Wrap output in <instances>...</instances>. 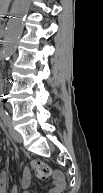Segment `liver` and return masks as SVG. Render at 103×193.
I'll list each match as a JSON object with an SVG mask.
<instances>
[{"instance_id": "obj_1", "label": "liver", "mask_w": 103, "mask_h": 193, "mask_svg": "<svg viewBox=\"0 0 103 193\" xmlns=\"http://www.w3.org/2000/svg\"><path fill=\"white\" fill-rule=\"evenodd\" d=\"M11 0H0V12L2 14L6 13Z\"/></svg>"}]
</instances>
